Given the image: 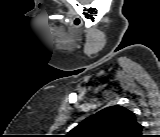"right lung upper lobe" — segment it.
Wrapping results in <instances>:
<instances>
[{
    "label": "right lung upper lobe",
    "mask_w": 160,
    "mask_h": 137,
    "mask_svg": "<svg viewBox=\"0 0 160 137\" xmlns=\"http://www.w3.org/2000/svg\"><path fill=\"white\" fill-rule=\"evenodd\" d=\"M69 134L72 137H139L142 126L133 112L115 105L89 116Z\"/></svg>",
    "instance_id": "cb5924a9"
}]
</instances>
